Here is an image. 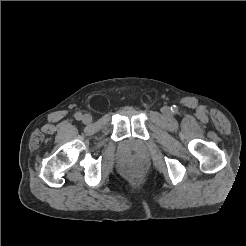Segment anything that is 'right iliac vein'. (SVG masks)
<instances>
[{
    "instance_id": "right-iliac-vein-1",
    "label": "right iliac vein",
    "mask_w": 246,
    "mask_h": 246,
    "mask_svg": "<svg viewBox=\"0 0 246 246\" xmlns=\"http://www.w3.org/2000/svg\"><path fill=\"white\" fill-rule=\"evenodd\" d=\"M92 121V117L90 114H84L82 117V122L88 124Z\"/></svg>"
}]
</instances>
